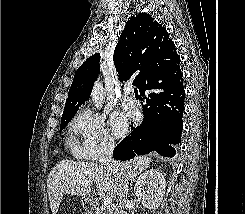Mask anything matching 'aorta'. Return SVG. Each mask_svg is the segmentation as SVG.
Segmentation results:
<instances>
[{
    "label": "aorta",
    "instance_id": "obj_1",
    "mask_svg": "<svg viewBox=\"0 0 245 214\" xmlns=\"http://www.w3.org/2000/svg\"><path fill=\"white\" fill-rule=\"evenodd\" d=\"M91 100L97 109H100L104 102L103 84L100 81L95 82L93 85Z\"/></svg>",
    "mask_w": 245,
    "mask_h": 214
}]
</instances>
